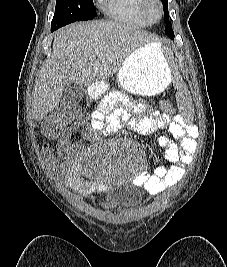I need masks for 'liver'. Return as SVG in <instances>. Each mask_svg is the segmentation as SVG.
I'll return each instance as SVG.
<instances>
[{
  "instance_id": "obj_1",
  "label": "liver",
  "mask_w": 227,
  "mask_h": 267,
  "mask_svg": "<svg viewBox=\"0 0 227 267\" xmlns=\"http://www.w3.org/2000/svg\"><path fill=\"white\" fill-rule=\"evenodd\" d=\"M152 40L137 26L116 21L79 22L59 29L54 34L52 55L35 80L32 103L35 121L42 120L60 103L67 84L87 87L105 81L133 51L154 43Z\"/></svg>"
}]
</instances>
